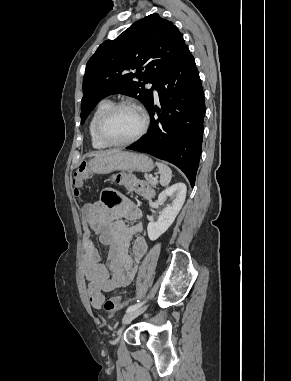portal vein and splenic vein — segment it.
<instances>
[{
  "label": "portal vein and splenic vein",
  "instance_id": "1",
  "mask_svg": "<svg viewBox=\"0 0 291 381\" xmlns=\"http://www.w3.org/2000/svg\"><path fill=\"white\" fill-rule=\"evenodd\" d=\"M149 177H150V178H153V175H152V174H150V175H149ZM155 179H156V178H155Z\"/></svg>",
  "mask_w": 291,
  "mask_h": 381
}]
</instances>
